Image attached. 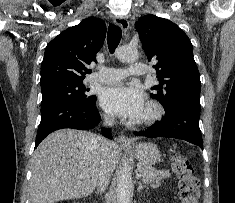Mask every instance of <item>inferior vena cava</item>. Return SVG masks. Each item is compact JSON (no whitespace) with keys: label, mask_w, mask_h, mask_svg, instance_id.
<instances>
[{"label":"inferior vena cava","mask_w":235,"mask_h":203,"mask_svg":"<svg viewBox=\"0 0 235 203\" xmlns=\"http://www.w3.org/2000/svg\"><path fill=\"white\" fill-rule=\"evenodd\" d=\"M104 120L106 126H112L114 123V119L109 116H105ZM97 140L99 142L101 151L104 153L105 156L108 150L109 141L102 136H98ZM109 181H110V169L107 164V161L102 160L97 179V192L98 193L104 192L109 184Z\"/></svg>","instance_id":"602c4592"}]
</instances>
